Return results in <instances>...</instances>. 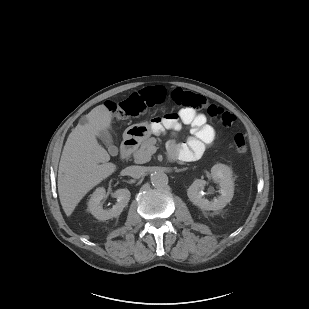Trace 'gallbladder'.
Instances as JSON below:
<instances>
[{"mask_svg":"<svg viewBox=\"0 0 309 309\" xmlns=\"http://www.w3.org/2000/svg\"><path fill=\"white\" fill-rule=\"evenodd\" d=\"M98 137L108 147V151L111 155L115 156L118 154V148L113 144L112 135L108 131H101Z\"/></svg>","mask_w":309,"mask_h":309,"instance_id":"bac80fb5","label":"gallbladder"}]
</instances>
